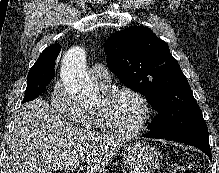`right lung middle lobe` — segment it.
Returning a JSON list of instances; mask_svg holds the SVG:
<instances>
[{"mask_svg": "<svg viewBox=\"0 0 219 173\" xmlns=\"http://www.w3.org/2000/svg\"><path fill=\"white\" fill-rule=\"evenodd\" d=\"M55 77L53 74L44 73L40 69L31 68L27 77V88L23 103L38 97Z\"/></svg>", "mask_w": 219, "mask_h": 173, "instance_id": "obj_1", "label": "right lung middle lobe"}]
</instances>
